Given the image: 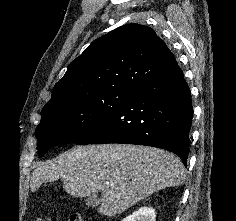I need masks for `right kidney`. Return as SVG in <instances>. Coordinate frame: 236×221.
<instances>
[{"mask_svg": "<svg viewBox=\"0 0 236 221\" xmlns=\"http://www.w3.org/2000/svg\"><path fill=\"white\" fill-rule=\"evenodd\" d=\"M122 221H156V213L151 207H141Z\"/></svg>", "mask_w": 236, "mask_h": 221, "instance_id": "1", "label": "right kidney"}]
</instances>
